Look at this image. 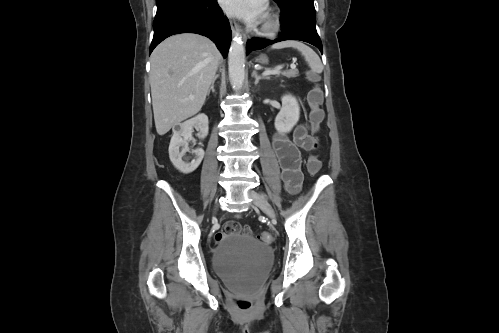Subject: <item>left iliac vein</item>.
<instances>
[{
  "instance_id": "1",
  "label": "left iliac vein",
  "mask_w": 499,
  "mask_h": 333,
  "mask_svg": "<svg viewBox=\"0 0 499 333\" xmlns=\"http://www.w3.org/2000/svg\"><path fill=\"white\" fill-rule=\"evenodd\" d=\"M249 196L252 198L254 205L259 207L268 217L275 219V212L268 201L259 193L251 190Z\"/></svg>"
}]
</instances>
